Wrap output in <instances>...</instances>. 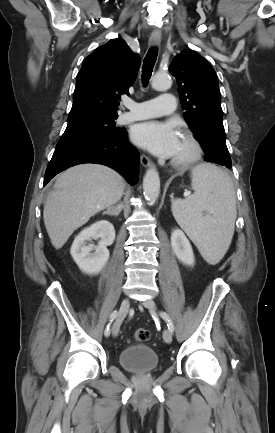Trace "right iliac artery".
Masks as SVG:
<instances>
[{
  "label": "right iliac artery",
  "instance_id": "right-iliac-artery-1",
  "mask_svg": "<svg viewBox=\"0 0 275 433\" xmlns=\"http://www.w3.org/2000/svg\"><path fill=\"white\" fill-rule=\"evenodd\" d=\"M117 316V311H113L110 315V322L107 325L106 329H105V336H109L110 335V325L113 322V320L116 318Z\"/></svg>",
  "mask_w": 275,
  "mask_h": 433
}]
</instances>
